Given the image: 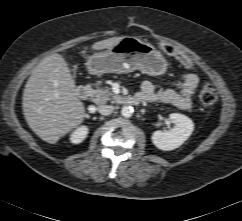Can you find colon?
I'll use <instances>...</instances> for the list:
<instances>
[{
    "label": "colon",
    "mask_w": 242,
    "mask_h": 221,
    "mask_svg": "<svg viewBox=\"0 0 242 221\" xmlns=\"http://www.w3.org/2000/svg\"><path fill=\"white\" fill-rule=\"evenodd\" d=\"M159 48L162 52L173 56L182 67L192 69L193 62L188 55L169 43H161ZM198 98L201 104L205 106L213 105L217 99L215 86L210 82H201L198 84Z\"/></svg>",
    "instance_id": "obj_1"
}]
</instances>
